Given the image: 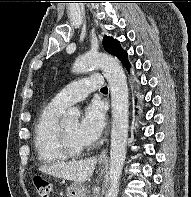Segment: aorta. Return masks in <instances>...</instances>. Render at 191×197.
Masks as SVG:
<instances>
[{
    "instance_id": "762f6f07",
    "label": "aorta",
    "mask_w": 191,
    "mask_h": 197,
    "mask_svg": "<svg viewBox=\"0 0 191 197\" xmlns=\"http://www.w3.org/2000/svg\"><path fill=\"white\" fill-rule=\"evenodd\" d=\"M102 69L108 81L111 92L112 130L110 146L109 187L106 197H117L120 178L126 158L128 138V85L125 72L120 63L107 54H86L77 59L73 65L74 73H84L90 68ZM80 112L70 108L64 114L63 120L67 123L78 122Z\"/></svg>"
}]
</instances>
